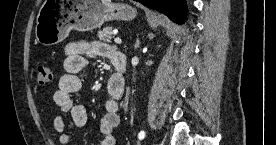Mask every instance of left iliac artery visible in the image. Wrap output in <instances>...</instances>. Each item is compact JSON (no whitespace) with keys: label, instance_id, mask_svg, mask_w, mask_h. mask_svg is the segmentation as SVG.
Instances as JSON below:
<instances>
[{"label":"left iliac artery","instance_id":"44dca946","mask_svg":"<svg viewBox=\"0 0 276 145\" xmlns=\"http://www.w3.org/2000/svg\"><path fill=\"white\" fill-rule=\"evenodd\" d=\"M145 132L144 131H141L139 134H138V138L140 139V140H142V139H144L145 138Z\"/></svg>","mask_w":276,"mask_h":145}]
</instances>
